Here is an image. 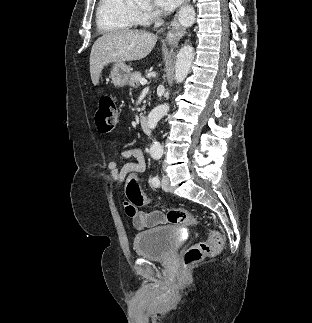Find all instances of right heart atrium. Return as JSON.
Segmentation results:
<instances>
[{"label": "right heart atrium", "instance_id": "d8ad5b80", "mask_svg": "<svg viewBox=\"0 0 312 323\" xmlns=\"http://www.w3.org/2000/svg\"><path fill=\"white\" fill-rule=\"evenodd\" d=\"M153 15H154L155 17H160V16L162 15V12H161L160 10H155V11L153 12Z\"/></svg>", "mask_w": 312, "mask_h": 323}]
</instances>
